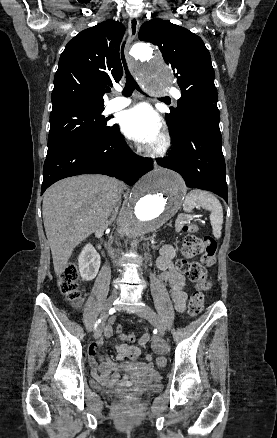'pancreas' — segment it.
Segmentation results:
<instances>
[{
  "label": "pancreas",
  "mask_w": 277,
  "mask_h": 438,
  "mask_svg": "<svg viewBox=\"0 0 277 438\" xmlns=\"http://www.w3.org/2000/svg\"><path fill=\"white\" fill-rule=\"evenodd\" d=\"M187 221H188V216L186 214H179L177 218L174 219V225L172 226V231L174 233H181Z\"/></svg>",
  "instance_id": "cf45deb5"
}]
</instances>
